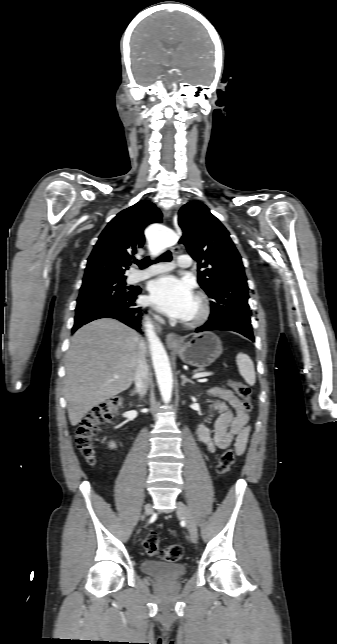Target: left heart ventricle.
Masks as SVG:
<instances>
[{
    "label": "left heart ventricle",
    "instance_id": "left-heart-ventricle-1",
    "mask_svg": "<svg viewBox=\"0 0 337 644\" xmlns=\"http://www.w3.org/2000/svg\"><path fill=\"white\" fill-rule=\"evenodd\" d=\"M196 311H197V302L194 299L193 304L191 306V309H190V312H189L187 318H190L191 316H193L196 313Z\"/></svg>",
    "mask_w": 337,
    "mask_h": 644
}]
</instances>
